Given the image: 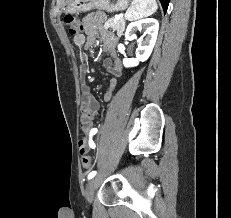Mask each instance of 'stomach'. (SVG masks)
<instances>
[{"mask_svg": "<svg viewBox=\"0 0 231 218\" xmlns=\"http://www.w3.org/2000/svg\"><path fill=\"white\" fill-rule=\"evenodd\" d=\"M128 4L129 0H67L66 12L75 14L99 9L115 13L125 10Z\"/></svg>", "mask_w": 231, "mask_h": 218, "instance_id": "stomach-1", "label": "stomach"}]
</instances>
